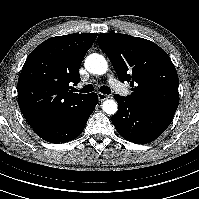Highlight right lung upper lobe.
<instances>
[{
  "label": "right lung upper lobe",
  "mask_w": 199,
  "mask_h": 199,
  "mask_svg": "<svg viewBox=\"0 0 199 199\" xmlns=\"http://www.w3.org/2000/svg\"><path fill=\"white\" fill-rule=\"evenodd\" d=\"M96 37L90 33L52 37L30 53L18 79V100L33 129L56 122L88 97L69 89L80 82L79 67Z\"/></svg>",
  "instance_id": "cb5924a9"
}]
</instances>
